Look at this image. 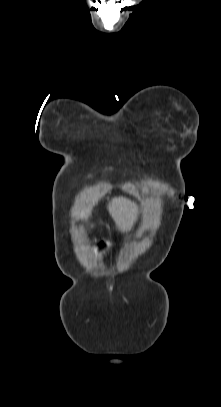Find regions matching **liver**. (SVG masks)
Listing matches in <instances>:
<instances>
[{
    "label": "liver",
    "instance_id": "1",
    "mask_svg": "<svg viewBox=\"0 0 221 407\" xmlns=\"http://www.w3.org/2000/svg\"><path fill=\"white\" fill-rule=\"evenodd\" d=\"M108 211L121 232L130 231L137 217V206L123 197L113 198Z\"/></svg>",
    "mask_w": 221,
    "mask_h": 407
}]
</instances>
